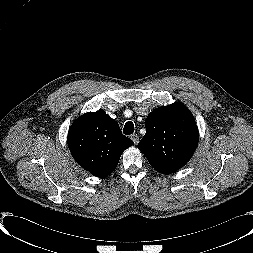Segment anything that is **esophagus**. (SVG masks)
<instances>
[{
  "instance_id": "esophagus-1",
  "label": "esophagus",
  "mask_w": 253,
  "mask_h": 253,
  "mask_svg": "<svg viewBox=\"0 0 253 253\" xmlns=\"http://www.w3.org/2000/svg\"><path fill=\"white\" fill-rule=\"evenodd\" d=\"M131 139L133 140L135 145H137V143L139 142V136L137 134L131 135Z\"/></svg>"
}]
</instances>
